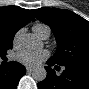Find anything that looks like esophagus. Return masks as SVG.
<instances>
[{
  "mask_svg": "<svg viewBox=\"0 0 89 89\" xmlns=\"http://www.w3.org/2000/svg\"><path fill=\"white\" fill-rule=\"evenodd\" d=\"M26 70H27V72L31 73V72L33 71V68L28 66V67L26 68Z\"/></svg>",
  "mask_w": 89,
  "mask_h": 89,
  "instance_id": "obj_1",
  "label": "esophagus"
}]
</instances>
